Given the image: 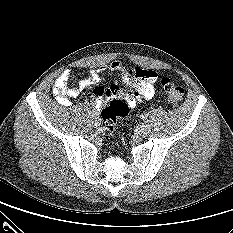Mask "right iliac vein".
Here are the masks:
<instances>
[{
	"mask_svg": "<svg viewBox=\"0 0 233 233\" xmlns=\"http://www.w3.org/2000/svg\"><path fill=\"white\" fill-rule=\"evenodd\" d=\"M100 121L99 119L96 117L93 119V125L96 127V128H99L100 127Z\"/></svg>",
	"mask_w": 233,
	"mask_h": 233,
	"instance_id": "right-iliac-vein-1",
	"label": "right iliac vein"
}]
</instances>
